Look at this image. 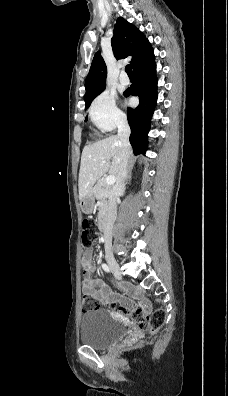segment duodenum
<instances>
[{
    "label": "duodenum",
    "mask_w": 228,
    "mask_h": 396,
    "mask_svg": "<svg viewBox=\"0 0 228 396\" xmlns=\"http://www.w3.org/2000/svg\"><path fill=\"white\" fill-rule=\"evenodd\" d=\"M99 229L104 235H106V233L108 232V223L105 218H101L99 220Z\"/></svg>",
    "instance_id": "1"
}]
</instances>
